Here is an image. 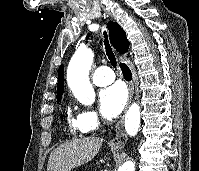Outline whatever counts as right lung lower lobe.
<instances>
[{"mask_svg": "<svg viewBox=\"0 0 199 171\" xmlns=\"http://www.w3.org/2000/svg\"><path fill=\"white\" fill-rule=\"evenodd\" d=\"M120 67L122 69V72H123V75H124V78L128 81L131 80V71L129 70V68L125 65V64H120Z\"/></svg>", "mask_w": 199, "mask_h": 171, "instance_id": "obj_1", "label": "right lung lower lobe"}]
</instances>
